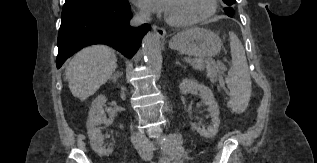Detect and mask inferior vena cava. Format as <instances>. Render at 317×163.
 Returning <instances> with one entry per match:
<instances>
[{"label": "inferior vena cava", "mask_w": 317, "mask_h": 163, "mask_svg": "<svg viewBox=\"0 0 317 163\" xmlns=\"http://www.w3.org/2000/svg\"><path fill=\"white\" fill-rule=\"evenodd\" d=\"M149 20L150 14L139 13L133 17V19L131 20V25L139 26L143 23H147ZM131 142L143 159H149L152 157L153 145L144 135H141L139 133L132 134Z\"/></svg>", "instance_id": "inferior-vena-cava-1"}]
</instances>
